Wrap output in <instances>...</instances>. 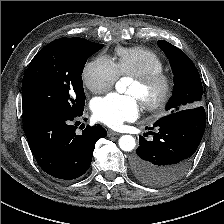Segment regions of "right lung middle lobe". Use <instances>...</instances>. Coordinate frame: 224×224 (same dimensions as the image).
<instances>
[{
	"label": "right lung middle lobe",
	"mask_w": 224,
	"mask_h": 224,
	"mask_svg": "<svg viewBox=\"0 0 224 224\" xmlns=\"http://www.w3.org/2000/svg\"><path fill=\"white\" fill-rule=\"evenodd\" d=\"M103 46L84 38H61L41 49L23 77V120L42 113L73 114L83 109L84 65Z\"/></svg>",
	"instance_id": "1"
}]
</instances>
